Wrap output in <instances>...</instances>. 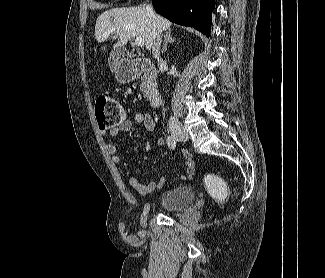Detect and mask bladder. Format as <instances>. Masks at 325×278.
Instances as JSON below:
<instances>
[{
	"label": "bladder",
	"instance_id": "31cf9c89",
	"mask_svg": "<svg viewBox=\"0 0 325 278\" xmlns=\"http://www.w3.org/2000/svg\"><path fill=\"white\" fill-rule=\"evenodd\" d=\"M194 199V191L187 185H176L164 191L157 203L164 212H176L188 207Z\"/></svg>",
	"mask_w": 325,
	"mask_h": 278
}]
</instances>
